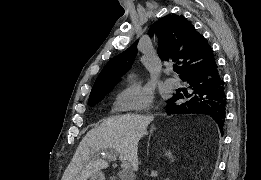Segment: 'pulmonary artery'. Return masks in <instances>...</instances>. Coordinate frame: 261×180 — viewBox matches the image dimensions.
Listing matches in <instances>:
<instances>
[{
  "instance_id": "e3ab8cb5",
  "label": "pulmonary artery",
  "mask_w": 261,
  "mask_h": 180,
  "mask_svg": "<svg viewBox=\"0 0 261 180\" xmlns=\"http://www.w3.org/2000/svg\"><path fill=\"white\" fill-rule=\"evenodd\" d=\"M167 72H170V69H167ZM179 81L175 78H168L166 80V86L170 89H175L179 86Z\"/></svg>"
}]
</instances>
